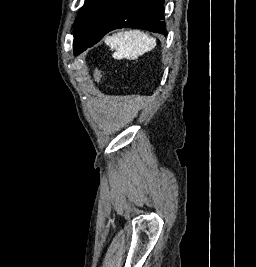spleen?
<instances>
[{
    "mask_svg": "<svg viewBox=\"0 0 256 267\" xmlns=\"http://www.w3.org/2000/svg\"><path fill=\"white\" fill-rule=\"evenodd\" d=\"M105 44L109 48H115V58L118 56L126 60H138L139 56L155 48L156 40L141 30H129V32H117L113 36H107Z\"/></svg>",
    "mask_w": 256,
    "mask_h": 267,
    "instance_id": "3e777b00",
    "label": "spleen"
}]
</instances>
